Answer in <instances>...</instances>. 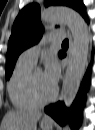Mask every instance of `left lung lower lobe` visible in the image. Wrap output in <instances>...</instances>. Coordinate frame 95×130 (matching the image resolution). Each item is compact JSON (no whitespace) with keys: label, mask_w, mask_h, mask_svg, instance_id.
I'll list each match as a JSON object with an SVG mask.
<instances>
[{"label":"left lung lower lobe","mask_w":95,"mask_h":130,"mask_svg":"<svg viewBox=\"0 0 95 130\" xmlns=\"http://www.w3.org/2000/svg\"><path fill=\"white\" fill-rule=\"evenodd\" d=\"M84 17L87 19L86 15H84ZM59 56L64 57L65 54L60 52ZM90 70L91 67L89 66L81 84L79 94L76 97L69 111H67V109L64 106V103L62 102H58L57 104L50 105L45 108V112L49 114L60 125H64L66 123L67 116H69L72 128L77 130L80 126L82 119V109L84 107L86 99L85 94L89 87Z\"/></svg>","instance_id":"left-lung-lower-lobe-1"}]
</instances>
